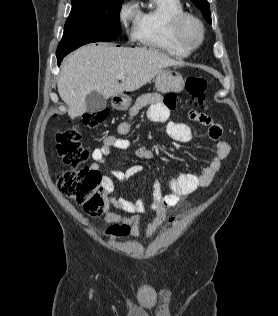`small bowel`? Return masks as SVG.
Instances as JSON below:
<instances>
[{
  "label": "small bowel",
  "instance_id": "c3829d8e",
  "mask_svg": "<svg viewBox=\"0 0 278 316\" xmlns=\"http://www.w3.org/2000/svg\"><path fill=\"white\" fill-rule=\"evenodd\" d=\"M176 105L177 99L173 95H168L163 99L160 94L147 93L140 96L131 107L129 119L132 120L142 109L147 108V115L151 121L165 122L169 119L170 112ZM189 118L208 128V136L214 141V154L209 164L202 169L200 174L184 173L171 179L170 192L167 194L162 193L158 181L153 182L149 207L155 212V216L145 226L144 234L146 237H151L167 220V209L169 207L176 206L184 196L209 186L230 152L229 143L222 137L223 128L221 124L211 116L193 109L189 111ZM130 130V121H123L117 128L120 136H106L103 145L94 148L91 152L93 163L90 169L99 172L102 166L107 165V157L114 149L125 150L130 148L131 142L122 137L129 134ZM167 132L171 138L182 143H188L193 138L191 128L185 123L169 121ZM134 154L142 160H151L154 157L153 151L145 146L138 147ZM142 171V166L134 165L125 168L123 171L114 170L111 175L118 180H128L139 175ZM112 176L103 175L101 177V183L105 190V203L107 206L111 205L118 211L130 216L118 212H106L104 220L109 224V227L106 228L104 233L112 238L137 237L142 230L140 214L145 212L146 204L140 198L132 201L115 196V185Z\"/></svg>",
  "mask_w": 278,
  "mask_h": 316
}]
</instances>
